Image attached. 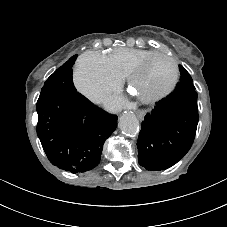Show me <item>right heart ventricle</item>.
Returning <instances> with one entry per match:
<instances>
[{
    "instance_id": "e07e8e85",
    "label": "right heart ventricle",
    "mask_w": 227,
    "mask_h": 227,
    "mask_svg": "<svg viewBox=\"0 0 227 227\" xmlns=\"http://www.w3.org/2000/svg\"><path fill=\"white\" fill-rule=\"evenodd\" d=\"M155 50L119 47L112 50L107 59L113 71L121 78H127L130 71L143 59L156 53Z\"/></svg>"
}]
</instances>
